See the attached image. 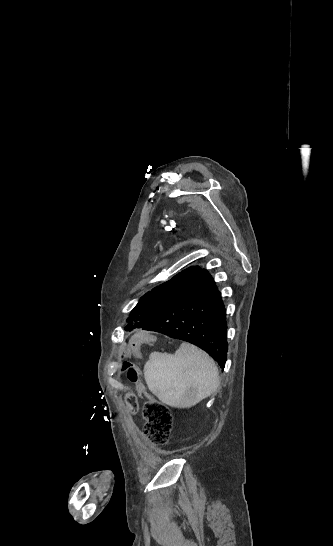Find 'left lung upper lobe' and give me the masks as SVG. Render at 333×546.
Masks as SVG:
<instances>
[{"mask_svg": "<svg viewBox=\"0 0 333 546\" xmlns=\"http://www.w3.org/2000/svg\"><path fill=\"white\" fill-rule=\"evenodd\" d=\"M200 270L198 266L189 267L147 292L131 311L130 317L138 327L146 326L161 309L176 300L192 284Z\"/></svg>", "mask_w": 333, "mask_h": 546, "instance_id": "left-lung-upper-lobe-1", "label": "left lung upper lobe"}]
</instances>
